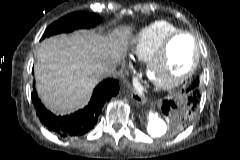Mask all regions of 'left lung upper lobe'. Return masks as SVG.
<instances>
[{
  "label": "left lung upper lobe",
  "instance_id": "1",
  "mask_svg": "<svg viewBox=\"0 0 240 160\" xmlns=\"http://www.w3.org/2000/svg\"><path fill=\"white\" fill-rule=\"evenodd\" d=\"M193 89H198L199 87V78H197L191 86Z\"/></svg>",
  "mask_w": 240,
  "mask_h": 160
}]
</instances>
